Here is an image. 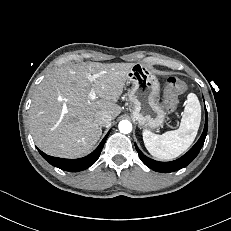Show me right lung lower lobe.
Segmentation results:
<instances>
[{
	"instance_id": "right-lung-lower-lobe-1",
	"label": "right lung lower lobe",
	"mask_w": 231,
	"mask_h": 231,
	"mask_svg": "<svg viewBox=\"0 0 231 231\" xmlns=\"http://www.w3.org/2000/svg\"><path fill=\"white\" fill-rule=\"evenodd\" d=\"M109 132L104 137V139L101 141L99 146L91 154L85 157H82V158H78V159L57 158V157L49 156L45 154L44 152L40 151L39 149L38 151L45 160H47L51 165L55 167H58L62 170L69 171V172L82 171V170L89 168L91 165H93L97 161L103 149L105 141L109 135Z\"/></svg>"
}]
</instances>
